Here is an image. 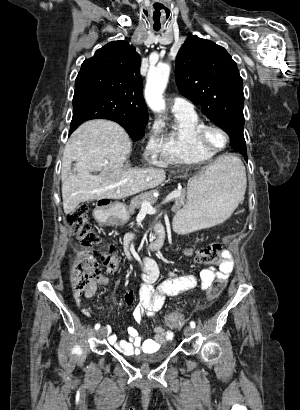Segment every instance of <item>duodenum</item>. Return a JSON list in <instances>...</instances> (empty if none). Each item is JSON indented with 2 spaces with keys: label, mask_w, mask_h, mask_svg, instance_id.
<instances>
[{
  "label": "duodenum",
  "mask_w": 300,
  "mask_h": 410,
  "mask_svg": "<svg viewBox=\"0 0 300 410\" xmlns=\"http://www.w3.org/2000/svg\"><path fill=\"white\" fill-rule=\"evenodd\" d=\"M97 213L100 214V217L98 219L100 222L106 223L109 220V215L106 213L105 207H100L99 210L97 211ZM160 246H161V244L159 242H153L150 245V249L151 250H157V249L160 248Z\"/></svg>",
  "instance_id": "1"
}]
</instances>
